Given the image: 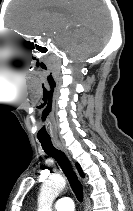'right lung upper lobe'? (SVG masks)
I'll use <instances>...</instances> for the list:
<instances>
[{
	"mask_svg": "<svg viewBox=\"0 0 133 211\" xmlns=\"http://www.w3.org/2000/svg\"><path fill=\"white\" fill-rule=\"evenodd\" d=\"M76 167H77V169H78V171H79V174L82 176V177H84V173L82 172V169H81V167H80V165L77 163L76 164Z\"/></svg>",
	"mask_w": 133,
	"mask_h": 211,
	"instance_id": "cb5924a9",
	"label": "right lung upper lobe"
}]
</instances>
